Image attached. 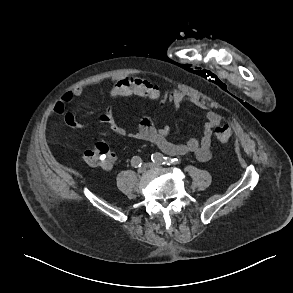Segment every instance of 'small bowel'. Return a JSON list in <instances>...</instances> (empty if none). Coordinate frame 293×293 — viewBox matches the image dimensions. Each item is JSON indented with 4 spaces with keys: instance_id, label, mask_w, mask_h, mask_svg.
<instances>
[{
    "instance_id": "c3829d8e",
    "label": "small bowel",
    "mask_w": 293,
    "mask_h": 293,
    "mask_svg": "<svg viewBox=\"0 0 293 293\" xmlns=\"http://www.w3.org/2000/svg\"><path fill=\"white\" fill-rule=\"evenodd\" d=\"M96 84H82L74 87L63 94L61 100L54 105V112L58 115H63L65 123L73 129L82 127V124L76 119L74 114L66 111V104L74 98L80 97L90 87ZM143 92L153 94L152 98H161L163 102H168L178 112L184 102H190L198 108L206 109L204 104L194 96L179 90H170L161 93L158 86L152 84L146 79L138 77H117L109 89V94L113 98L128 97L132 95L143 96ZM144 97V96H143ZM98 120L105 124L113 133L135 140L147 141L155 144L160 150L168 155H187L193 154L200 162H207L211 159L212 132L220 121L221 117L214 111L206 112V122L203 126V134L200 139L190 138L185 142H173L168 138L171 131L169 125L156 127L149 117H143L139 123L138 129L135 132H129L122 127L114 117L113 109L109 108L106 112L98 115ZM106 135V132H102ZM116 162L114 157L113 162L105 170H111Z\"/></svg>"
}]
</instances>
